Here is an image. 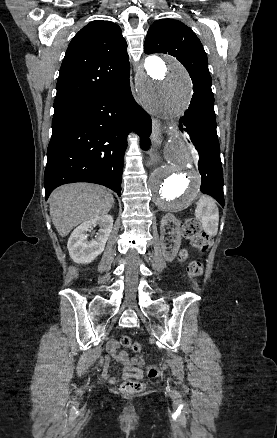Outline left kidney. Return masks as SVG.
<instances>
[{"instance_id":"5707ae66","label":"left kidney","mask_w":277,"mask_h":438,"mask_svg":"<svg viewBox=\"0 0 277 438\" xmlns=\"http://www.w3.org/2000/svg\"><path fill=\"white\" fill-rule=\"evenodd\" d=\"M168 222H172V224H174V226H177V230H173V232H170L171 236H173L174 240V246L171 250L172 254H169V252H166L167 248L164 244V236H165V226H168ZM181 222H179V220H177V218H175V216H173V214H165V216H163L162 220H161V226H160V230H161V236H160V240H161V248H162V252H163V256H164V260H166V262H173L175 256H177L178 254V250L181 246V236H180V226Z\"/></svg>"}]
</instances>
